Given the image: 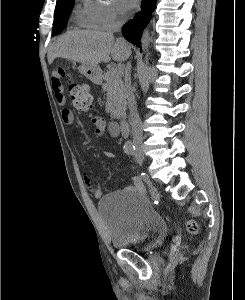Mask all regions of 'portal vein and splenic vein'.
Returning a JSON list of instances; mask_svg holds the SVG:
<instances>
[{"label":"portal vein and splenic vein","mask_w":245,"mask_h":300,"mask_svg":"<svg viewBox=\"0 0 245 300\" xmlns=\"http://www.w3.org/2000/svg\"><path fill=\"white\" fill-rule=\"evenodd\" d=\"M113 71H116L117 69H112Z\"/></svg>","instance_id":"1"}]
</instances>
